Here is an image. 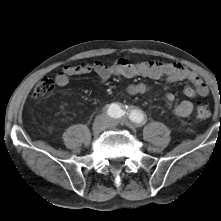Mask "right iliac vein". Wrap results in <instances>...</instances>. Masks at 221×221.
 I'll list each match as a JSON object with an SVG mask.
<instances>
[{"label":"right iliac vein","mask_w":221,"mask_h":221,"mask_svg":"<svg viewBox=\"0 0 221 221\" xmlns=\"http://www.w3.org/2000/svg\"><path fill=\"white\" fill-rule=\"evenodd\" d=\"M109 121L105 117H98L92 126V130L95 134H99L108 127Z\"/></svg>","instance_id":"right-iliac-vein-1"}]
</instances>
